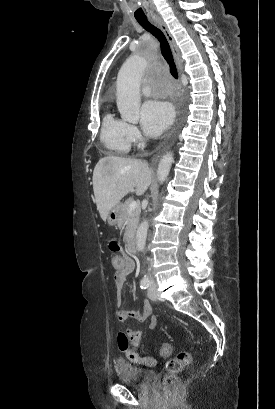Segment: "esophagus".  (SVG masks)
Segmentation results:
<instances>
[{
    "label": "esophagus",
    "mask_w": 275,
    "mask_h": 409,
    "mask_svg": "<svg viewBox=\"0 0 275 409\" xmlns=\"http://www.w3.org/2000/svg\"><path fill=\"white\" fill-rule=\"evenodd\" d=\"M151 22H153L162 32L164 33L165 37L167 38V41L169 42V45L171 47V52L173 54L174 59L176 60L178 71L181 73L182 72V61H181V56L179 49L175 43L174 38L172 37L170 31L168 30V27L166 23L162 20L160 17H153L150 19ZM159 157V154L156 155L153 158V161L156 162Z\"/></svg>",
    "instance_id": "esophagus-1"
}]
</instances>
